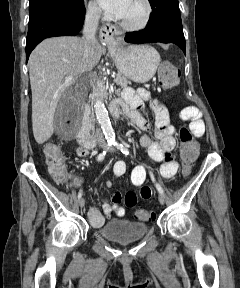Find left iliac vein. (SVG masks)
<instances>
[{
	"mask_svg": "<svg viewBox=\"0 0 240 288\" xmlns=\"http://www.w3.org/2000/svg\"><path fill=\"white\" fill-rule=\"evenodd\" d=\"M110 152H116V149L114 147H111ZM158 200H159L160 204H162V205L165 203V199H164V196L162 194L158 195Z\"/></svg>",
	"mask_w": 240,
	"mask_h": 288,
	"instance_id": "4c4485c4",
	"label": "left iliac vein"
}]
</instances>
